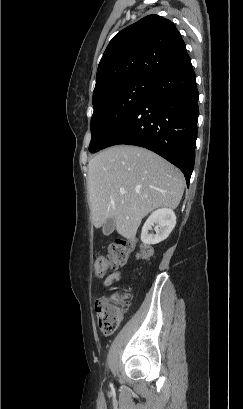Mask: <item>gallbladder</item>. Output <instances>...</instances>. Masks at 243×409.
Masks as SVG:
<instances>
[{
  "label": "gallbladder",
  "instance_id": "1",
  "mask_svg": "<svg viewBox=\"0 0 243 409\" xmlns=\"http://www.w3.org/2000/svg\"><path fill=\"white\" fill-rule=\"evenodd\" d=\"M115 229V219L108 218L103 225L102 232L105 236H109Z\"/></svg>",
  "mask_w": 243,
  "mask_h": 409
}]
</instances>
